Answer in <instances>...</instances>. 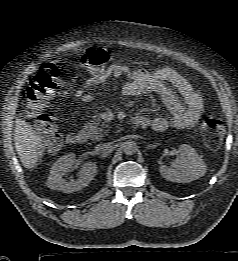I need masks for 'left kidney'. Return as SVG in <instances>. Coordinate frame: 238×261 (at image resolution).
<instances>
[{
    "label": "left kidney",
    "mask_w": 238,
    "mask_h": 261,
    "mask_svg": "<svg viewBox=\"0 0 238 261\" xmlns=\"http://www.w3.org/2000/svg\"><path fill=\"white\" fill-rule=\"evenodd\" d=\"M178 157L171 167L161 165L159 171L166 180L177 183H188L199 179L206 173V165L201 156L189 145L182 144L178 148Z\"/></svg>",
    "instance_id": "obj_1"
}]
</instances>
